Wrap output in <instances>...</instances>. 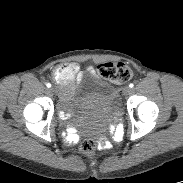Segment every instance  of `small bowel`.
I'll return each instance as SVG.
<instances>
[{"label":"small bowel","mask_w":183,"mask_h":183,"mask_svg":"<svg viewBox=\"0 0 183 183\" xmlns=\"http://www.w3.org/2000/svg\"><path fill=\"white\" fill-rule=\"evenodd\" d=\"M57 71L71 75L70 82L63 83L61 85V95L63 96H67L71 92L74 79L79 84L83 81V78L86 72L90 73L91 75H95V70L93 67L88 66L86 69H81L79 65L74 62L63 64ZM62 115L63 117L68 116V114H62ZM72 135H73V141H76L77 136L75 134H72Z\"/></svg>","instance_id":"1"}]
</instances>
